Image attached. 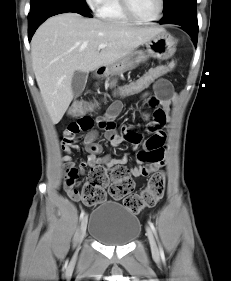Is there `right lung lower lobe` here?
Returning <instances> with one entry per match:
<instances>
[{"mask_svg":"<svg viewBox=\"0 0 231 281\" xmlns=\"http://www.w3.org/2000/svg\"><path fill=\"white\" fill-rule=\"evenodd\" d=\"M31 11L28 14V39L31 40L36 29L49 17L76 12L92 17L84 0H31Z\"/></svg>","mask_w":231,"mask_h":281,"instance_id":"98d812e1","label":"right lung lower lobe"}]
</instances>
